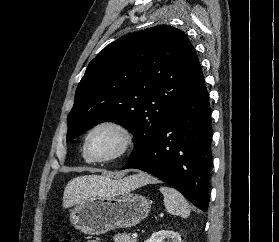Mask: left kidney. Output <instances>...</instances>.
Masks as SVG:
<instances>
[{
    "instance_id": "1",
    "label": "left kidney",
    "mask_w": 279,
    "mask_h": 242,
    "mask_svg": "<svg viewBox=\"0 0 279 242\" xmlns=\"http://www.w3.org/2000/svg\"><path fill=\"white\" fill-rule=\"evenodd\" d=\"M165 238H171L173 242H182L179 233L169 230H161L153 233L152 236L144 242H163Z\"/></svg>"
}]
</instances>
